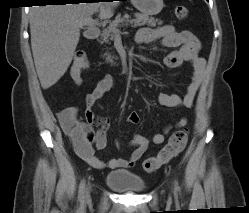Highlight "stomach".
<instances>
[{"label":"stomach","instance_id":"stomach-1","mask_svg":"<svg viewBox=\"0 0 249 213\" xmlns=\"http://www.w3.org/2000/svg\"><path fill=\"white\" fill-rule=\"evenodd\" d=\"M131 2L145 15H156L164 6L163 0H131Z\"/></svg>","mask_w":249,"mask_h":213}]
</instances>
